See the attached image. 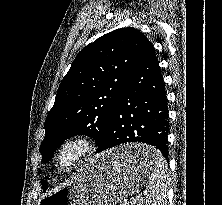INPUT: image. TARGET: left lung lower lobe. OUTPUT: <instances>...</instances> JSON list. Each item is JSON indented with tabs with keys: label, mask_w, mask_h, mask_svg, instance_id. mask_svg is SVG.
<instances>
[{
	"label": "left lung lower lobe",
	"mask_w": 222,
	"mask_h": 205,
	"mask_svg": "<svg viewBox=\"0 0 222 205\" xmlns=\"http://www.w3.org/2000/svg\"><path fill=\"white\" fill-rule=\"evenodd\" d=\"M167 102L158 59L148 42L118 97L96 153L123 143L140 142L154 146L167 158ZM152 160V155L141 153L133 158L137 164L144 165Z\"/></svg>",
	"instance_id": "left-lung-lower-lobe-1"
}]
</instances>
